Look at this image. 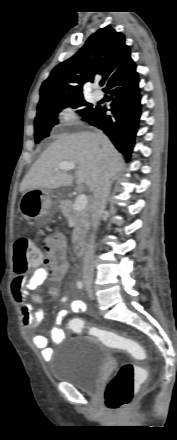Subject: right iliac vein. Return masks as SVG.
<instances>
[{"label": "right iliac vein", "instance_id": "obj_1", "mask_svg": "<svg viewBox=\"0 0 177 440\" xmlns=\"http://www.w3.org/2000/svg\"><path fill=\"white\" fill-rule=\"evenodd\" d=\"M86 287L88 290L92 291L93 290V286L92 283L90 281H86Z\"/></svg>", "mask_w": 177, "mask_h": 440}]
</instances>
